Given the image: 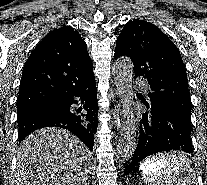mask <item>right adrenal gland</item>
Returning a JSON list of instances; mask_svg holds the SVG:
<instances>
[{"mask_svg":"<svg viewBox=\"0 0 207 185\" xmlns=\"http://www.w3.org/2000/svg\"><path fill=\"white\" fill-rule=\"evenodd\" d=\"M82 185H90L89 181H87V179H84Z\"/></svg>","mask_w":207,"mask_h":185,"instance_id":"2a0ac1e0","label":"right adrenal gland"}]
</instances>
